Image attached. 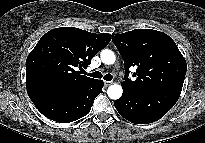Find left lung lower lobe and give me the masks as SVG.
Here are the masks:
<instances>
[{
	"mask_svg": "<svg viewBox=\"0 0 205 143\" xmlns=\"http://www.w3.org/2000/svg\"><path fill=\"white\" fill-rule=\"evenodd\" d=\"M182 87L167 86L145 91L123 88L121 98L114 101L119 114L135 124H148L162 118L177 102Z\"/></svg>",
	"mask_w": 205,
	"mask_h": 143,
	"instance_id": "left-lung-lower-lobe-1",
	"label": "left lung lower lobe"
}]
</instances>
